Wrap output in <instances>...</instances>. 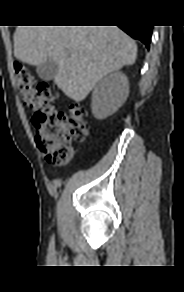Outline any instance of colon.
I'll return each mask as SVG.
<instances>
[{
	"mask_svg": "<svg viewBox=\"0 0 184 292\" xmlns=\"http://www.w3.org/2000/svg\"><path fill=\"white\" fill-rule=\"evenodd\" d=\"M15 80L21 98L33 111L32 123L39 151L51 165H62L72 156V142H82L88 135L85 111L73 103L68 112L55 110L56 94L46 82H37L23 64H14Z\"/></svg>",
	"mask_w": 184,
	"mask_h": 292,
	"instance_id": "obj_1",
	"label": "colon"
}]
</instances>
